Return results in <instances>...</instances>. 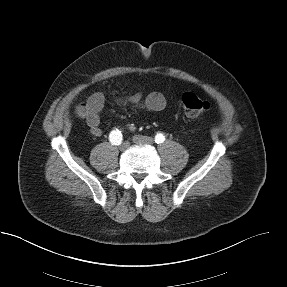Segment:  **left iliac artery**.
Masks as SVG:
<instances>
[{"label": "left iliac artery", "mask_w": 287, "mask_h": 287, "mask_svg": "<svg viewBox=\"0 0 287 287\" xmlns=\"http://www.w3.org/2000/svg\"><path fill=\"white\" fill-rule=\"evenodd\" d=\"M165 141V136L162 134V133H158L156 136H155V142L157 144H160V143H163Z\"/></svg>", "instance_id": "obj_1"}]
</instances>
